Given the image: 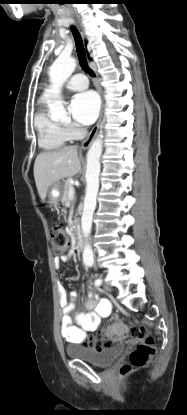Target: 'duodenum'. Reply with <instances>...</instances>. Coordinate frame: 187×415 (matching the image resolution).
<instances>
[{
  "label": "duodenum",
  "mask_w": 187,
  "mask_h": 415,
  "mask_svg": "<svg viewBox=\"0 0 187 415\" xmlns=\"http://www.w3.org/2000/svg\"><path fill=\"white\" fill-rule=\"evenodd\" d=\"M72 233L76 240V249L77 251H79L81 249V241H82L81 224L79 221H75L73 223Z\"/></svg>",
  "instance_id": "duodenum-1"
}]
</instances>
